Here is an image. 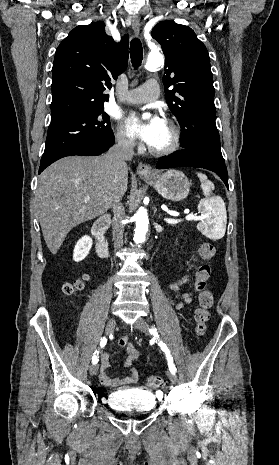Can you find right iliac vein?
Wrapping results in <instances>:
<instances>
[{"mask_svg":"<svg viewBox=\"0 0 279 465\" xmlns=\"http://www.w3.org/2000/svg\"><path fill=\"white\" fill-rule=\"evenodd\" d=\"M116 327V319L115 318H110L107 322L106 328H105V333L106 335H110L113 333ZM98 372V365L97 364H92L90 366V374L92 376L96 375Z\"/></svg>","mask_w":279,"mask_h":465,"instance_id":"1","label":"right iliac vein"}]
</instances>
